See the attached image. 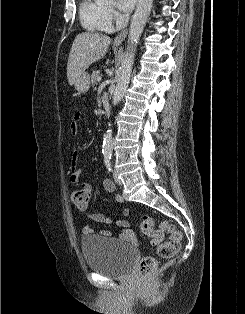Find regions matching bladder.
<instances>
[{
	"label": "bladder",
	"instance_id": "bladder-1",
	"mask_svg": "<svg viewBox=\"0 0 245 314\" xmlns=\"http://www.w3.org/2000/svg\"><path fill=\"white\" fill-rule=\"evenodd\" d=\"M86 266L108 277H123L138 257V251L121 241L100 235L81 241Z\"/></svg>",
	"mask_w": 245,
	"mask_h": 314
}]
</instances>
